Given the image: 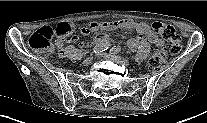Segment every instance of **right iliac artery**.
I'll return each mask as SVG.
<instances>
[{
    "instance_id": "82829eb1",
    "label": "right iliac artery",
    "mask_w": 207,
    "mask_h": 123,
    "mask_svg": "<svg viewBox=\"0 0 207 123\" xmlns=\"http://www.w3.org/2000/svg\"><path fill=\"white\" fill-rule=\"evenodd\" d=\"M109 46H110L109 43H100V44H97V45L93 48L92 53L100 54L101 52L106 51L107 49H109Z\"/></svg>"
}]
</instances>
